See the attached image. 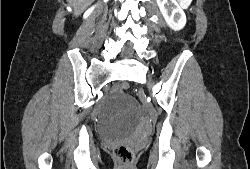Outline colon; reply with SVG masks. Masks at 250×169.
Segmentation results:
<instances>
[{
    "instance_id": "1",
    "label": "colon",
    "mask_w": 250,
    "mask_h": 169,
    "mask_svg": "<svg viewBox=\"0 0 250 169\" xmlns=\"http://www.w3.org/2000/svg\"><path fill=\"white\" fill-rule=\"evenodd\" d=\"M121 90H128V85H121ZM113 150L118 169H136L135 150L132 145H123V141H114Z\"/></svg>"
}]
</instances>
